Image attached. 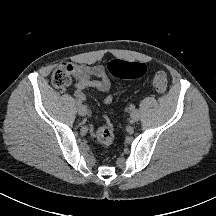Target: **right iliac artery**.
<instances>
[{
    "label": "right iliac artery",
    "mask_w": 216,
    "mask_h": 216,
    "mask_svg": "<svg viewBox=\"0 0 216 216\" xmlns=\"http://www.w3.org/2000/svg\"><path fill=\"white\" fill-rule=\"evenodd\" d=\"M76 105H78V106L82 105V101L81 100H76Z\"/></svg>",
    "instance_id": "right-iliac-artery-1"
}]
</instances>
